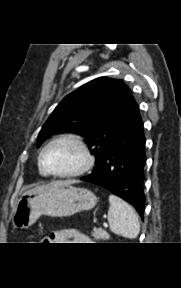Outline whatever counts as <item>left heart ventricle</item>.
Listing matches in <instances>:
<instances>
[{
  "instance_id": "left-heart-ventricle-1",
  "label": "left heart ventricle",
  "mask_w": 181,
  "mask_h": 288,
  "mask_svg": "<svg viewBox=\"0 0 181 288\" xmlns=\"http://www.w3.org/2000/svg\"><path fill=\"white\" fill-rule=\"evenodd\" d=\"M44 163L54 173H67L76 170L81 165L82 155L72 143L58 142L47 149Z\"/></svg>"
}]
</instances>
